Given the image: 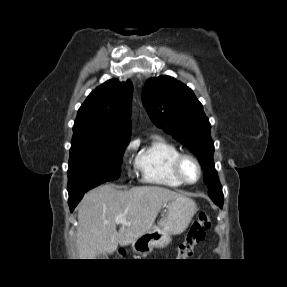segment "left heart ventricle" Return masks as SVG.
<instances>
[{
  "mask_svg": "<svg viewBox=\"0 0 287 287\" xmlns=\"http://www.w3.org/2000/svg\"><path fill=\"white\" fill-rule=\"evenodd\" d=\"M183 175L189 182H194L198 177V170L195 164L191 161H186L183 164Z\"/></svg>",
  "mask_w": 287,
  "mask_h": 287,
  "instance_id": "left-heart-ventricle-1",
  "label": "left heart ventricle"
}]
</instances>
